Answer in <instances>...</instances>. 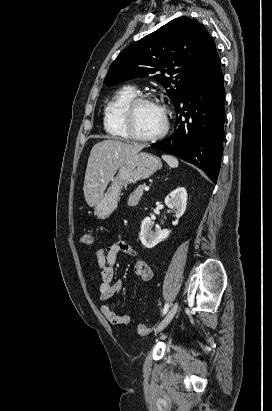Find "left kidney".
<instances>
[{
    "instance_id": "obj_1",
    "label": "left kidney",
    "mask_w": 272,
    "mask_h": 411,
    "mask_svg": "<svg viewBox=\"0 0 272 411\" xmlns=\"http://www.w3.org/2000/svg\"><path fill=\"white\" fill-rule=\"evenodd\" d=\"M165 204L168 208L175 211L177 219L172 222L176 226L179 222V218L184 214L187 206V191L183 187H179L172 191L165 198ZM153 222L150 217H146L141 224V232L139 238L141 243L146 248H153L161 241L167 239L170 234V230L156 229L152 230Z\"/></svg>"
}]
</instances>
